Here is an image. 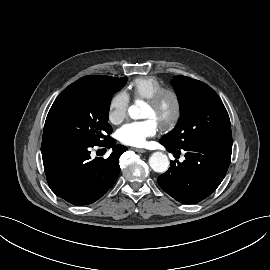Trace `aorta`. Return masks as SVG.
Segmentation results:
<instances>
[{"mask_svg":"<svg viewBox=\"0 0 270 270\" xmlns=\"http://www.w3.org/2000/svg\"><path fill=\"white\" fill-rule=\"evenodd\" d=\"M142 106L141 101H137L135 105L130 106L128 109L129 116L132 119L142 118ZM149 164L153 171L163 173L169 168V159L162 152H154L149 158Z\"/></svg>","mask_w":270,"mask_h":270,"instance_id":"762f6f07","label":"aorta"}]
</instances>
